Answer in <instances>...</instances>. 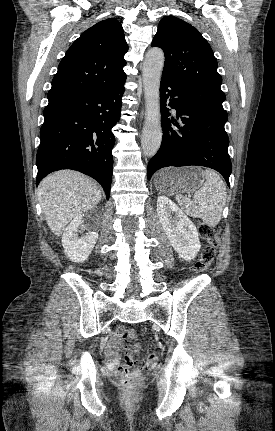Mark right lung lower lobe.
Instances as JSON below:
<instances>
[{"instance_id":"obj_1","label":"right lung lower lobe","mask_w":275,"mask_h":431,"mask_svg":"<svg viewBox=\"0 0 275 431\" xmlns=\"http://www.w3.org/2000/svg\"><path fill=\"white\" fill-rule=\"evenodd\" d=\"M125 80L96 92L49 101L44 109L37 152V183L61 169L80 171L103 187L109 198L115 136Z\"/></svg>"}]
</instances>
